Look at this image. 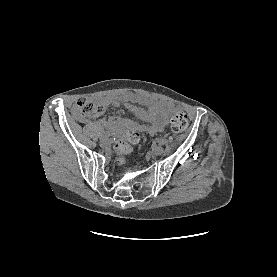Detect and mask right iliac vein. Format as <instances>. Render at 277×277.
Instances as JSON below:
<instances>
[{
  "label": "right iliac vein",
  "mask_w": 277,
  "mask_h": 277,
  "mask_svg": "<svg viewBox=\"0 0 277 277\" xmlns=\"http://www.w3.org/2000/svg\"><path fill=\"white\" fill-rule=\"evenodd\" d=\"M110 144H111V140L108 138H104L100 140V146L103 148L110 146Z\"/></svg>",
  "instance_id": "1"
}]
</instances>
